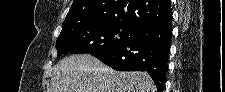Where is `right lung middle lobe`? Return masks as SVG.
I'll return each mask as SVG.
<instances>
[{"instance_id": "dd1d6c3e", "label": "right lung middle lobe", "mask_w": 225, "mask_h": 92, "mask_svg": "<svg viewBox=\"0 0 225 92\" xmlns=\"http://www.w3.org/2000/svg\"><path fill=\"white\" fill-rule=\"evenodd\" d=\"M136 28L118 22H85L61 31L57 57L66 53H90L107 49L130 39Z\"/></svg>"}]
</instances>
